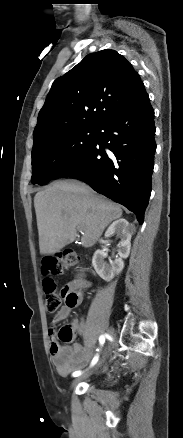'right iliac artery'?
<instances>
[{
  "mask_svg": "<svg viewBox=\"0 0 183 438\" xmlns=\"http://www.w3.org/2000/svg\"><path fill=\"white\" fill-rule=\"evenodd\" d=\"M105 338H110V336H109L108 334H104V335H101V336L99 337V342H100L101 345L104 344V342H105ZM98 359H99V355H96V356L93 358V360H92V362H91V364H90V367L94 366V365L97 363ZM81 374H82V371H75V372H73L72 376H73V377H78V376H80Z\"/></svg>",
  "mask_w": 183,
  "mask_h": 438,
  "instance_id": "right-iliac-artery-1",
  "label": "right iliac artery"
}]
</instances>
